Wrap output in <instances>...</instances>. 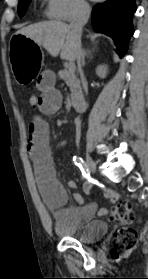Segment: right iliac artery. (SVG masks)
Returning <instances> with one entry per match:
<instances>
[{
  "mask_svg": "<svg viewBox=\"0 0 148 279\" xmlns=\"http://www.w3.org/2000/svg\"><path fill=\"white\" fill-rule=\"evenodd\" d=\"M73 161L75 163V165H77L80 170L82 171V175L84 178L88 179L90 181V174H89V169L87 164L83 161V159L81 157H73ZM90 189V186L87 187L86 192L88 193Z\"/></svg>",
  "mask_w": 148,
  "mask_h": 279,
  "instance_id": "82829eb1",
  "label": "right iliac artery"
}]
</instances>
